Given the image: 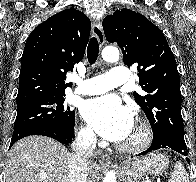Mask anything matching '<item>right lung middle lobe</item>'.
Wrapping results in <instances>:
<instances>
[{"mask_svg":"<svg viewBox=\"0 0 196 182\" xmlns=\"http://www.w3.org/2000/svg\"><path fill=\"white\" fill-rule=\"evenodd\" d=\"M64 96L43 97L17 104L15 129L37 122L74 127L75 112L64 104Z\"/></svg>","mask_w":196,"mask_h":182,"instance_id":"dd1d6c3e","label":"right lung middle lobe"}]
</instances>
